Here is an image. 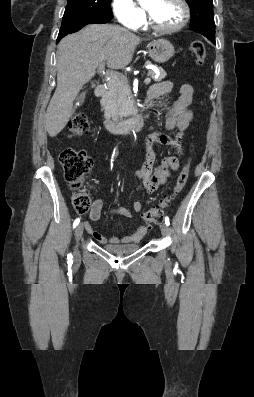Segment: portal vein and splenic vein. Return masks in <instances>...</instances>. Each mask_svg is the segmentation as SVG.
<instances>
[{"instance_id": "obj_1", "label": "portal vein and splenic vein", "mask_w": 254, "mask_h": 397, "mask_svg": "<svg viewBox=\"0 0 254 397\" xmlns=\"http://www.w3.org/2000/svg\"><path fill=\"white\" fill-rule=\"evenodd\" d=\"M98 73H101V74L105 75L108 79H111V80H119L122 77V75H120L117 72L110 71V70H105V63H101L98 66ZM144 82L146 84H149L151 82V79L149 77H147L144 80Z\"/></svg>"}]
</instances>
